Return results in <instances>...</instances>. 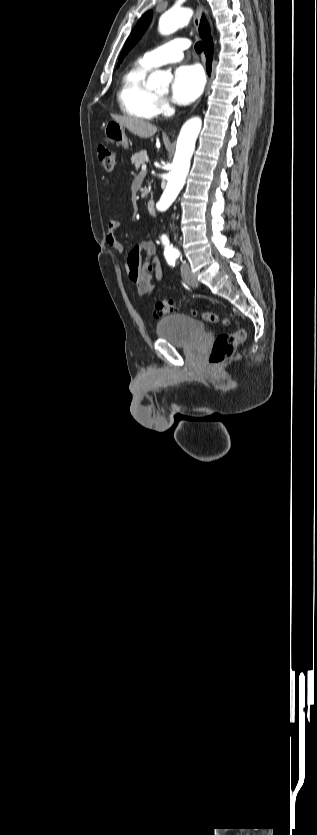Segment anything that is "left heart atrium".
<instances>
[{
	"label": "left heart atrium",
	"mask_w": 317,
	"mask_h": 835,
	"mask_svg": "<svg viewBox=\"0 0 317 835\" xmlns=\"http://www.w3.org/2000/svg\"><path fill=\"white\" fill-rule=\"evenodd\" d=\"M204 82V74L199 66L178 67L172 82L173 101L181 105L193 102L202 93Z\"/></svg>",
	"instance_id": "obj_1"
}]
</instances>
